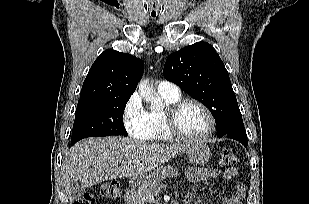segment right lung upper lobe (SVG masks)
I'll list each match as a JSON object with an SVG mask.
<instances>
[{
  "instance_id": "obj_1",
  "label": "right lung upper lobe",
  "mask_w": 309,
  "mask_h": 204,
  "mask_svg": "<svg viewBox=\"0 0 309 204\" xmlns=\"http://www.w3.org/2000/svg\"><path fill=\"white\" fill-rule=\"evenodd\" d=\"M143 70L142 60L115 50H105L91 66L78 103L106 97H130Z\"/></svg>"
}]
</instances>
